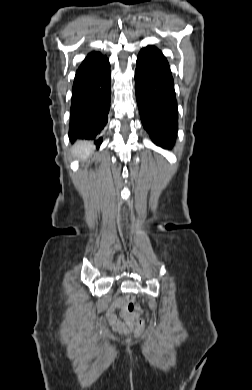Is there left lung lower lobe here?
<instances>
[{
	"mask_svg": "<svg viewBox=\"0 0 252 390\" xmlns=\"http://www.w3.org/2000/svg\"><path fill=\"white\" fill-rule=\"evenodd\" d=\"M135 92L144 129L156 145L171 149L178 130V104L169 63L155 46L138 54Z\"/></svg>",
	"mask_w": 252,
	"mask_h": 390,
	"instance_id": "1",
	"label": "left lung lower lobe"
}]
</instances>
